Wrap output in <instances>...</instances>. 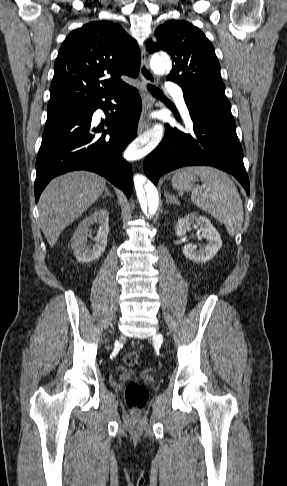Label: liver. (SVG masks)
Listing matches in <instances>:
<instances>
[{
    "label": "liver",
    "instance_id": "liver-1",
    "mask_svg": "<svg viewBox=\"0 0 287 486\" xmlns=\"http://www.w3.org/2000/svg\"><path fill=\"white\" fill-rule=\"evenodd\" d=\"M105 182L95 173L74 171L48 184L39 199V217L50 247H54L61 232L102 195Z\"/></svg>",
    "mask_w": 287,
    "mask_h": 486
}]
</instances>
